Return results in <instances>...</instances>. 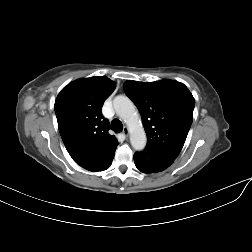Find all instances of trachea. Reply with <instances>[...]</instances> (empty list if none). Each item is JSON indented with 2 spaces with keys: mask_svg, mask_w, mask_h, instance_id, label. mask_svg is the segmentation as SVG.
<instances>
[{
  "mask_svg": "<svg viewBox=\"0 0 252 252\" xmlns=\"http://www.w3.org/2000/svg\"><path fill=\"white\" fill-rule=\"evenodd\" d=\"M111 127H112V130H114L117 133H119L123 130V125H122L121 121L118 119H114L111 122Z\"/></svg>",
  "mask_w": 252,
  "mask_h": 252,
  "instance_id": "3493384b",
  "label": "trachea"
}]
</instances>
